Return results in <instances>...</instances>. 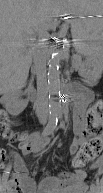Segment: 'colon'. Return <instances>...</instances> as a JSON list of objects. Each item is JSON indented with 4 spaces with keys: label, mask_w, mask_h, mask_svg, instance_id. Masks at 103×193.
<instances>
[{
    "label": "colon",
    "mask_w": 103,
    "mask_h": 193,
    "mask_svg": "<svg viewBox=\"0 0 103 193\" xmlns=\"http://www.w3.org/2000/svg\"><path fill=\"white\" fill-rule=\"evenodd\" d=\"M101 105L97 104L94 111L91 112V129L88 130L91 138L84 144L83 150L75 156L73 159V165L77 168L84 166L85 159L89 155H94L99 153L102 148V138L98 132H95V128L97 127L100 121V113ZM3 134L6 137H10L11 134L9 132L8 127L3 129Z\"/></svg>",
    "instance_id": "colon-1"
}]
</instances>
